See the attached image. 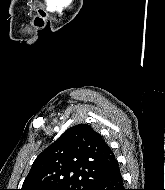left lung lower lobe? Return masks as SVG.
<instances>
[{
	"mask_svg": "<svg viewBox=\"0 0 165 190\" xmlns=\"http://www.w3.org/2000/svg\"><path fill=\"white\" fill-rule=\"evenodd\" d=\"M91 190H125L117 160L100 175Z\"/></svg>",
	"mask_w": 165,
	"mask_h": 190,
	"instance_id": "0a47b994",
	"label": "left lung lower lobe"
}]
</instances>
